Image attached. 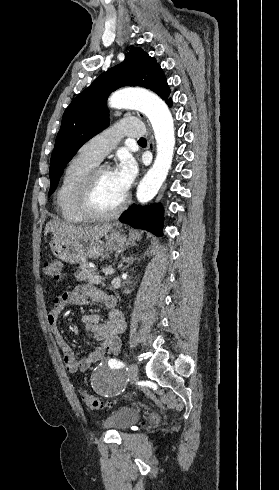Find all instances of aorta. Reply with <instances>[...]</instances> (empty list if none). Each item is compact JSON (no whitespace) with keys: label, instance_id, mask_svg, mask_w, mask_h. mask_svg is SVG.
Listing matches in <instances>:
<instances>
[{"label":"aorta","instance_id":"obj_1","mask_svg":"<svg viewBox=\"0 0 279 490\" xmlns=\"http://www.w3.org/2000/svg\"><path fill=\"white\" fill-rule=\"evenodd\" d=\"M108 105L111 108H131L144 113L149 119L156 140V158L137 187L140 203L152 200L165 181L172 164L175 130L171 112L166 103L154 93L141 90H122L113 93Z\"/></svg>","mask_w":279,"mask_h":490}]
</instances>
